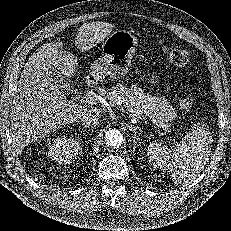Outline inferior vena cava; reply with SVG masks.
I'll list each match as a JSON object with an SVG mask.
<instances>
[{
	"mask_svg": "<svg viewBox=\"0 0 231 231\" xmlns=\"http://www.w3.org/2000/svg\"><path fill=\"white\" fill-rule=\"evenodd\" d=\"M80 122L85 128H93L99 124V118L95 114L89 112L82 116Z\"/></svg>",
	"mask_w": 231,
	"mask_h": 231,
	"instance_id": "602c4592",
	"label": "inferior vena cava"
}]
</instances>
